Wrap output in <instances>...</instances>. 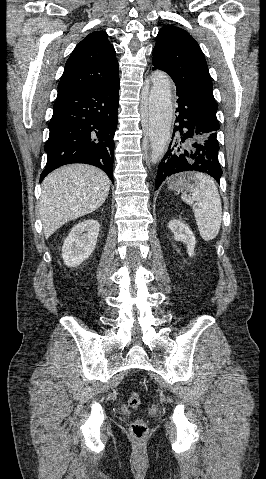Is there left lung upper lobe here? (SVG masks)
Listing matches in <instances>:
<instances>
[{"label":"left lung upper lobe","mask_w":266,"mask_h":479,"mask_svg":"<svg viewBox=\"0 0 266 479\" xmlns=\"http://www.w3.org/2000/svg\"><path fill=\"white\" fill-rule=\"evenodd\" d=\"M153 69H161L205 105L217 111L213 86L204 55L196 40L184 29L166 25L157 35Z\"/></svg>","instance_id":"5c2ea615"}]
</instances>
